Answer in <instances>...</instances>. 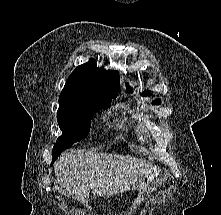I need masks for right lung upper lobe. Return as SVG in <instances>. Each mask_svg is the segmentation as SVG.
Returning a JSON list of instances; mask_svg holds the SVG:
<instances>
[{
  "label": "right lung upper lobe",
  "instance_id": "obj_1",
  "mask_svg": "<svg viewBox=\"0 0 221 215\" xmlns=\"http://www.w3.org/2000/svg\"><path fill=\"white\" fill-rule=\"evenodd\" d=\"M118 72L98 68L94 60L78 66L68 77L59 96V106H77L117 96Z\"/></svg>",
  "mask_w": 221,
  "mask_h": 215
}]
</instances>
